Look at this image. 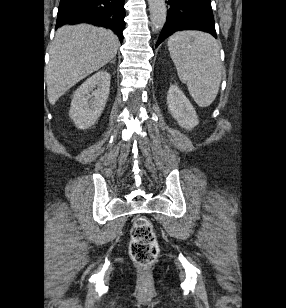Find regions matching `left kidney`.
Here are the masks:
<instances>
[{
  "mask_svg": "<svg viewBox=\"0 0 286 308\" xmlns=\"http://www.w3.org/2000/svg\"><path fill=\"white\" fill-rule=\"evenodd\" d=\"M167 106L182 128L191 130L198 125L199 120L193 105L177 85H171L168 90Z\"/></svg>",
  "mask_w": 286,
  "mask_h": 308,
  "instance_id": "1",
  "label": "left kidney"
}]
</instances>
